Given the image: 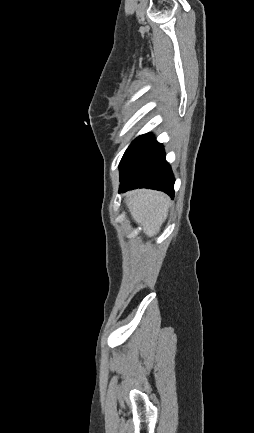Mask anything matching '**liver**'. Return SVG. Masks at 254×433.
<instances>
[{"label":"liver","instance_id":"liver-1","mask_svg":"<svg viewBox=\"0 0 254 433\" xmlns=\"http://www.w3.org/2000/svg\"><path fill=\"white\" fill-rule=\"evenodd\" d=\"M169 198L156 191L128 194L127 206L136 223L143 226L148 237L156 235L168 216Z\"/></svg>","mask_w":254,"mask_h":433}]
</instances>
